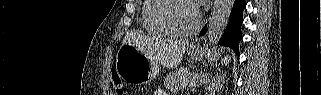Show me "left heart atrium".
I'll return each instance as SVG.
<instances>
[{"label": "left heart atrium", "instance_id": "39dd6f15", "mask_svg": "<svg viewBox=\"0 0 321 95\" xmlns=\"http://www.w3.org/2000/svg\"><path fill=\"white\" fill-rule=\"evenodd\" d=\"M195 3H196V4H200V2H197V1H194V4H195ZM195 6H196V5H195ZM196 8H197V7H196Z\"/></svg>", "mask_w": 321, "mask_h": 95}]
</instances>
